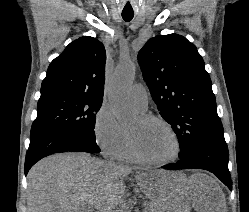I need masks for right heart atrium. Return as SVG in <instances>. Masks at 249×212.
<instances>
[{"label":"right heart atrium","mask_w":249,"mask_h":212,"mask_svg":"<svg viewBox=\"0 0 249 212\" xmlns=\"http://www.w3.org/2000/svg\"><path fill=\"white\" fill-rule=\"evenodd\" d=\"M93 136L103 154L114 160L123 159L128 148L127 136L109 104L103 103L93 120Z\"/></svg>","instance_id":"1"}]
</instances>
